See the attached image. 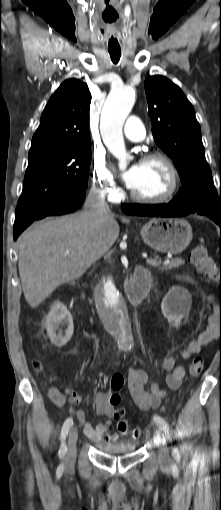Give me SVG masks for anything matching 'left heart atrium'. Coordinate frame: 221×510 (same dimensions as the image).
Returning <instances> with one entry per match:
<instances>
[{
  "instance_id": "obj_1",
  "label": "left heart atrium",
  "mask_w": 221,
  "mask_h": 510,
  "mask_svg": "<svg viewBox=\"0 0 221 510\" xmlns=\"http://www.w3.org/2000/svg\"><path fill=\"white\" fill-rule=\"evenodd\" d=\"M139 171H140V163L137 162V163L132 164L129 167V169L123 173V175H122L123 180H124L125 184L127 185V187H129L130 189H132L133 186L135 185V183L138 179V176H139Z\"/></svg>"
}]
</instances>
